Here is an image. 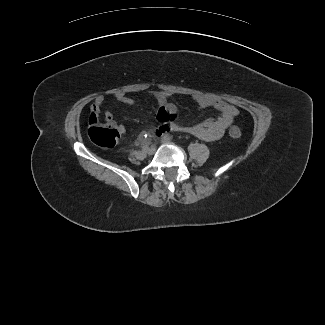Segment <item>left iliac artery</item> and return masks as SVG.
<instances>
[{
    "label": "left iliac artery",
    "instance_id": "44dca946",
    "mask_svg": "<svg viewBox=\"0 0 325 325\" xmlns=\"http://www.w3.org/2000/svg\"><path fill=\"white\" fill-rule=\"evenodd\" d=\"M164 138H165V139L172 140L173 137H172V135H170V134H165Z\"/></svg>",
    "mask_w": 325,
    "mask_h": 325
}]
</instances>
